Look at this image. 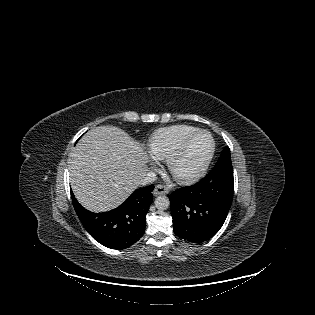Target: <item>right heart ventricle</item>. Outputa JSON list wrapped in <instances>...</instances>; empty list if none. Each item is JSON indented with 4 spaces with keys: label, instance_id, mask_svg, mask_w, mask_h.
<instances>
[{
    "label": "right heart ventricle",
    "instance_id": "1",
    "mask_svg": "<svg viewBox=\"0 0 315 315\" xmlns=\"http://www.w3.org/2000/svg\"><path fill=\"white\" fill-rule=\"evenodd\" d=\"M197 130L196 127L184 124L158 129L148 141L149 152L156 159H167L188 135Z\"/></svg>",
    "mask_w": 315,
    "mask_h": 315
}]
</instances>
